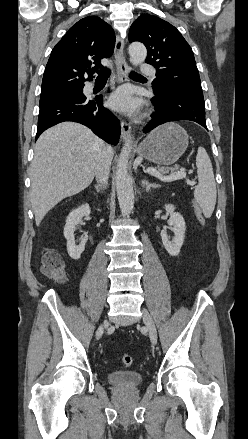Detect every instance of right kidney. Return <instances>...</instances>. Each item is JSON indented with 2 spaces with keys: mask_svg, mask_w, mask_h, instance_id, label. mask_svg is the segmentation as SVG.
<instances>
[{
  "mask_svg": "<svg viewBox=\"0 0 248 439\" xmlns=\"http://www.w3.org/2000/svg\"><path fill=\"white\" fill-rule=\"evenodd\" d=\"M91 214V210L89 207V204H83L79 208L73 210L66 219V224L64 227V237L67 240V251L69 256L74 259L78 260L82 254V252L85 250V244L88 240V236H84L81 240V242L76 245L75 244V226L80 224L82 222V218L84 216H88Z\"/></svg>",
  "mask_w": 248,
  "mask_h": 439,
  "instance_id": "ca27d5eb",
  "label": "right kidney"
}]
</instances>
